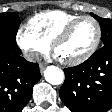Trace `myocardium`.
<instances>
[{"label":"myocardium","instance_id":"obj_1","mask_svg":"<svg viewBox=\"0 0 112 112\" xmlns=\"http://www.w3.org/2000/svg\"><path fill=\"white\" fill-rule=\"evenodd\" d=\"M84 19H89L93 22V24L95 25L96 28V35H95V39L92 43V45L90 46V48L80 57L75 58V59H70V60H65V62L67 64L70 65H79L84 63L85 61H87L97 50L101 38H102V28L101 25L99 23V21L91 16V15H80L77 18H75L74 20H72L71 22H69L53 39L52 43H51V47L53 52L56 53V49L58 47V45L64 41L69 34L71 33V31L73 30V28L82 20Z\"/></svg>","mask_w":112,"mask_h":112}]
</instances>
